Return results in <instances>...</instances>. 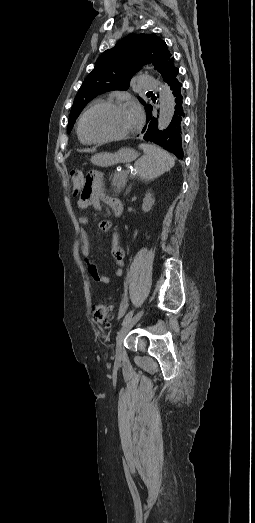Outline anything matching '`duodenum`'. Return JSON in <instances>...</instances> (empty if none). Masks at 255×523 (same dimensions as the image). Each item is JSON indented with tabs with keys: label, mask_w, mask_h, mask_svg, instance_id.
I'll use <instances>...</instances> for the list:
<instances>
[{
	"label": "duodenum",
	"mask_w": 255,
	"mask_h": 523,
	"mask_svg": "<svg viewBox=\"0 0 255 523\" xmlns=\"http://www.w3.org/2000/svg\"><path fill=\"white\" fill-rule=\"evenodd\" d=\"M109 204L116 216H120L123 212V204L119 199L111 198Z\"/></svg>",
	"instance_id": "duodenum-1"
}]
</instances>
